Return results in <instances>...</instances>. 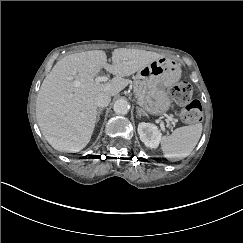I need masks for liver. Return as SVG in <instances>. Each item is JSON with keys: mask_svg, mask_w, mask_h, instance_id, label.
<instances>
[{"mask_svg": "<svg viewBox=\"0 0 243 243\" xmlns=\"http://www.w3.org/2000/svg\"><path fill=\"white\" fill-rule=\"evenodd\" d=\"M162 57L156 52L118 48L112 52V65L107 64L102 50L69 54L60 59L44 78L36 100V119L47 142L56 150L84 149L97 121L96 95H117L129 84L123 77ZM102 68L116 77L109 83L97 81Z\"/></svg>", "mask_w": 243, "mask_h": 243, "instance_id": "liver-1", "label": "liver"}]
</instances>
